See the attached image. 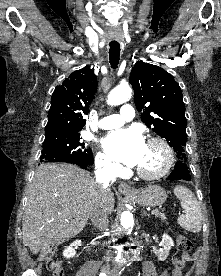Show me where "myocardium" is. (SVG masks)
<instances>
[{"mask_svg":"<svg viewBox=\"0 0 221 276\" xmlns=\"http://www.w3.org/2000/svg\"><path fill=\"white\" fill-rule=\"evenodd\" d=\"M147 144L157 145L161 148L164 154L163 164L156 171H145L140 168H137L136 172L141 178L146 180H156L162 178L169 173L174 164V152L169 143L161 137H150L147 140Z\"/></svg>","mask_w":221,"mask_h":276,"instance_id":"f54148a6","label":"myocardium"}]
</instances>
